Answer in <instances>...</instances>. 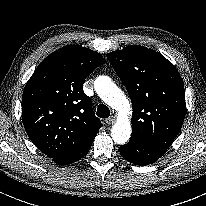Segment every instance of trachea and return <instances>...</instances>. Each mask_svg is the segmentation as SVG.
Wrapping results in <instances>:
<instances>
[{"label":"trachea","instance_id":"obj_1","mask_svg":"<svg viewBox=\"0 0 206 206\" xmlns=\"http://www.w3.org/2000/svg\"><path fill=\"white\" fill-rule=\"evenodd\" d=\"M97 116L100 118H108L110 116L109 108L104 104H100L97 108Z\"/></svg>","mask_w":206,"mask_h":206}]
</instances>
